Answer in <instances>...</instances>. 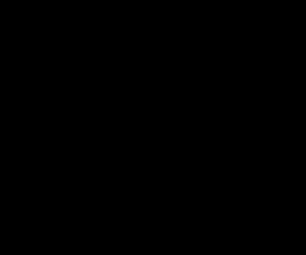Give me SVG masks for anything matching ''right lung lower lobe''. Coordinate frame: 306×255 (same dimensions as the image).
<instances>
[{
    "instance_id": "right-lung-lower-lobe-1",
    "label": "right lung lower lobe",
    "mask_w": 306,
    "mask_h": 255,
    "mask_svg": "<svg viewBox=\"0 0 306 255\" xmlns=\"http://www.w3.org/2000/svg\"><path fill=\"white\" fill-rule=\"evenodd\" d=\"M126 184L123 176L118 173H114L105 183L101 191L93 198L97 202L111 201L115 198H119L125 192Z\"/></svg>"
}]
</instances>
